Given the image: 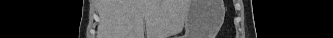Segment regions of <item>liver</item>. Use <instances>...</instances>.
Wrapping results in <instances>:
<instances>
[{
  "instance_id": "6515ba94",
  "label": "liver",
  "mask_w": 333,
  "mask_h": 38,
  "mask_svg": "<svg viewBox=\"0 0 333 38\" xmlns=\"http://www.w3.org/2000/svg\"><path fill=\"white\" fill-rule=\"evenodd\" d=\"M162 2L157 0H144L142 1L141 8L144 10L154 11L157 10Z\"/></svg>"
}]
</instances>
